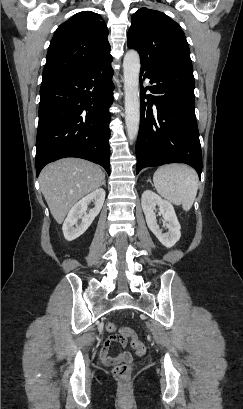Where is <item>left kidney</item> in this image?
<instances>
[{"mask_svg": "<svg viewBox=\"0 0 243 409\" xmlns=\"http://www.w3.org/2000/svg\"><path fill=\"white\" fill-rule=\"evenodd\" d=\"M141 204L149 229L165 247L170 248L174 246L180 239L181 226L172 204L163 200L160 196L150 190H146L142 194ZM156 205L159 206L160 213L167 222L166 228L168 229V232L166 233H163L160 226L157 224L156 214L154 212Z\"/></svg>", "mask_w": 243, "mask_h": 409, "instance_id": "1", "label": "left kidney"}]
</instances>
